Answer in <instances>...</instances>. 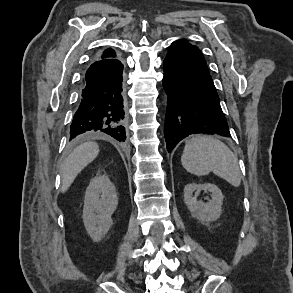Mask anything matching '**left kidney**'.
I'll list each match as a JSON object with an SVG mask.
<instances>
[{
    "label": "left kidney",
    "mask_w": 293,
    "mask_h": 293,
    "mask_svg": "<svg viewBox=\"0 0 293 293\" xmlns=\"http://www.w3.org/2000/svg\"><path fill=\"white\" fill-rule=\"evenodd\" d=\"M210 192L211 199L208 202L198 201L196 194L200 191ZM224 196L221 190L211 183H190L184 187V201L191 215L200 222H211L217 220L222 214Z\"/></svg>",
    "instance_id": "5707ae66"
}]
</instances>
